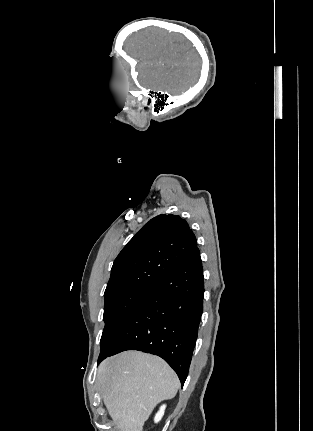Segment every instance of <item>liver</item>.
I'll return each mask as SVG.
<instances>
[{"instance_id": "6515ba94", "label": "liver", "mask_w": 313, "mask_h": 431, "mask_svg": "<svg viewBox=\"0 0 313 431\" xmlns=\"http://www.w3.org/2000/svg\"><path fill=\"white\" fill-rule=\"evenodd\" d=\"M97 379L104 404L120 431H142L156 405L173 398L180 386L164 360L137 351L104 360Z\"/></svg>"}]
</instances>
